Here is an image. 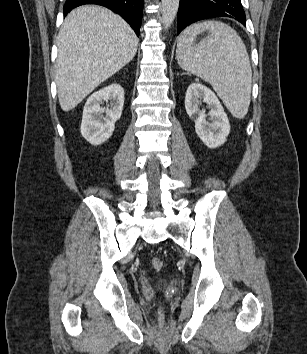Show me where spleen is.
Masks as SVG:
<instances>
[{"mask_svg":"<svg viewBox=\"0 0 307 354\" xmlns=\"http://www.w3.org/2000/svg\"><path fill=\"white\" fill-rule=\"evenodd\" d=\"M204 31L208 36L195 44ZM176 58L182 69L211 84L235 118L246 116L252 70L246 47L234 29L218 21L191 25L178 38Z\"/></svg>","mask_w":307,"mask_h":354,"instance_id":"spleen-1","label":"spleen"}]
</instances>
